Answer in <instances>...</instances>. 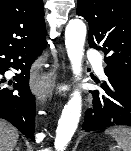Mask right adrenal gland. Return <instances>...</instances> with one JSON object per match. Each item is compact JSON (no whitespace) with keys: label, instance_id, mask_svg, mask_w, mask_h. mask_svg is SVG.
I'll list each match as a JSON object with an SVG mask.
<instances>
[{"label":"right adrenal gland","instance_id":"1","mask_svg":"<svg viewBox=\"0 0 131 151\" xmlns=\"http://www.w3.org/2000/svg\"><path fill=\"white\" fill-rule=\"evenodd\" d=\"M15 150H16V151H20V149H19V147H18V146L16 147V149H15Z\"/></svg>","mask_w":131,"mask_h":151}]
</instances>
